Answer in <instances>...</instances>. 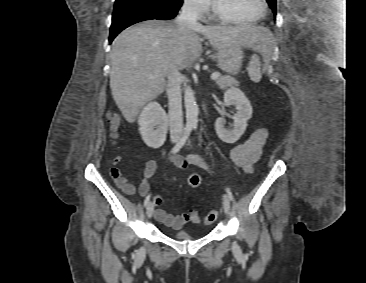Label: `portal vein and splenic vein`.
Returning a JSON list of instances; mask_svg holds the SVG:
<instances>
[{"label": "portal vein and splenic vein", "mask_w": 366, "mask_h": 283, "mask_svg": "<svg viewBox=\"0 0 366 283\" xmlns=\"http://www.w3.org/2000/svg\"><path fill=\"white\" fill-rule=\"evenodd\" d=\"M219 77H220L219 73H212V75H211L212 80H217Z\"/></svg>", "instance_id": "1"}]
</instances>
